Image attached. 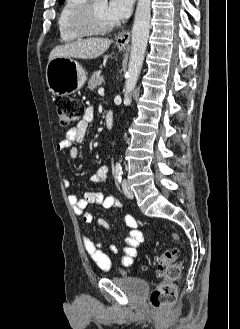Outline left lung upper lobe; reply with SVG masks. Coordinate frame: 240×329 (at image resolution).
Masks as SVG:
<instances>
[{
    "label": "left lung upper lobe",
    "mask_w": 240,
    "mask_h": 329,
    "mask_svg": "<svg viewBox=\"0 0 240 329\" xmlns=\"http://www.w3.org/2000/svg\"><path fill=\"white\" fill-rule=\"evenodd\" d=\"M60 3H62L63 2V0H58Z\"/></svg>",
    "instance_id": "left-lung-upper-lobe-1"
}]
</instances>
